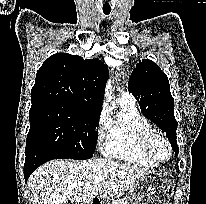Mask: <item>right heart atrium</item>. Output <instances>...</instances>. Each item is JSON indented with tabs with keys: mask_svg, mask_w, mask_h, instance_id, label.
Returning <instances> with one entry per match:
<instances>
[{
	"mask_svg": "<svg viewBox=\"0 0 206 204\" xmlns=\"http://www.w3.org/2000/svg\"><path fill=\"white\" fill-rule=\"evenodd\" d=\"M107 122H108L107 111L105 109H102L97 118V123H96V130L99 139L105 136Z\"/></svg>",
	"mask_w": 206,
	"mask_h": 204,
	"instance_id": "1",
	"label": "right heart atrium"
}]
</instances>
